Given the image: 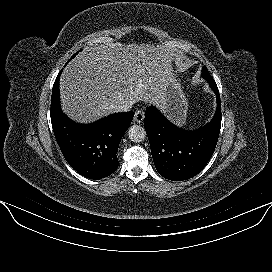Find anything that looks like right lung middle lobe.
<instances>
[{
    "instance_id": "right-lung-middle-lobe-1",
    "label": "right lung middle lobe",
    "mask_w": 272,
    "mask_h": 272,
    "mask_svg": "<svg viewBox=\"0 0 272 272\" xmlns=\"http://www.w3.org/2000/svg\"><path fill=\"white\" fill-rule=\"evenodd\" d=\"M77 53H78V52H77ZM77 53H76V54H77ZM76 54H74V55L72 56V58H73ZM72 58H71V59H72Z\"/></svg>"
}]
</instances>
